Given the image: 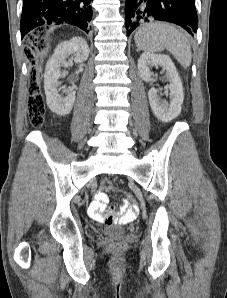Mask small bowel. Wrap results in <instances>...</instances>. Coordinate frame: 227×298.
Instances as JSON below:
<instances>
[{"label": "small bowel", "instance_id": "small-bowel-1", "mask_svg": "<svg viewBox=\"0 0 227 298\" xmlns=\"http://www.w3.org/2000/svg\"><path fill=\"white\" fill-rule=\"evenodd\" d=\"M105 190H100L96 193L94 200L89 206V215L97 220L101 221L107 217L106 209L108 204V196ZM121 211L124 212L122 218L123 221H130L137 213L138 208L132 206H126L123 204Z\"/></svg>", "mask_w": 227, "mask_h": 298}]
</instances>
